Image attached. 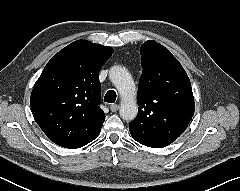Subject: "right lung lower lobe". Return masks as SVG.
<instances>
[{"mask_svg":"<svg viewBox=\"0 0 240 191\" xmlns=\"http://www.w3.org/2000/svg\"><path fill=\"white\" fill-rule=\"evenodd\" d=\"M96 139V138H95ZM94 140V139H93ZM93 140H91V141H93ZM91 141H89V142H87L86 144H88V143H90ZM85 144V145H86ZM82 146H84V145H82ZM82 146H79V147H73V148H70V149H76V148H80V147H82Z\"/></svg>","mask_w":240,"mask_h":191,"instance_id":"98d812e1","label":"right lung lower lobe"}]
</instances>
